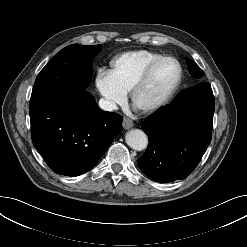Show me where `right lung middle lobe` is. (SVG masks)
<instances>
[{
	"label": "right lung middle lobe",
	"mask_w": 247,
	"mask_h": 247,
	"mask_svg": "<svg viewBox=\"0 0 247 247\" xmlns=\"http://www.w3.org/2000/svg\"><path fill=\"white\" fill-rule=\"evenodd\" d=\"M101 48L73 44L59 51L37 76L31 97L49 89L74 93L85 90L91 79V62Z\"/></svg>",
	"instance_id": "dd1d6c3e"
}]
</instances>
